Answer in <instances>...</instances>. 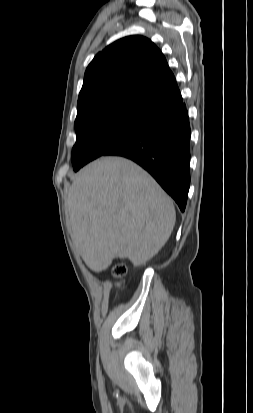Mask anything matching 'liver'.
<instances>
[{
    "label": "liver",
    "mask_w": 253,
    "mask_h": 413,
    "mask_svg": "<svg viewBox=\"0 0 253 413\" xmlns=\"http://www.w3.org/2000/svg\"><path fill=\"white\" fill-rule=\"evenodd\" d=\"M72 240L87 266L106 270L116 257L145 264L175 225L170 197L140 166L103 157L75 177L67 199Z\"/></svg>",
    "instance_id": "liver-1"
}]
</instances>
